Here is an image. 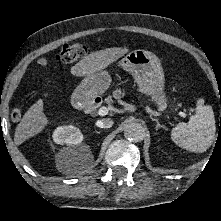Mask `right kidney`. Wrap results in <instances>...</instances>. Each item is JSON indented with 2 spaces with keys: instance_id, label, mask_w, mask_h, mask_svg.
<instances>
[{
  "instance_id": "1",
  "label": "right kidney",
  "mask_w": 221,
  "mask_h": 221,
  "mask_svg": "<svg viewBox=\"0 0 221 221\" xmlns=\"http://www.w3.org/2000/svg\"><path fill=\"white\" fill-rule=\"evenodd\" d=\"M53 140L57 144L72 146L83 141V134L73 125L60 126L53 132Z\"/></svg>"
}]
</instances>
